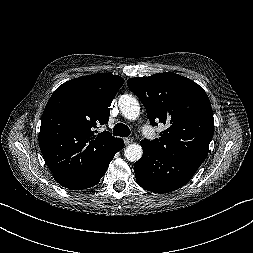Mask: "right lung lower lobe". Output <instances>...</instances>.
<instances>
[{"instance_id":"obj_1","label":"right lung lower lobe","mask_w":253,"mask_h":253,"mask_svg":"<svg viewBox=\"0 0 253 253\" xmlns=\"http://www.w3.org/2000/svg\"><path fill=\"white\" fill-rule=\"evenodd\" d=\"M123 147L124 142L120 139L111 151L101 160L79 167L73 171L53 172V177L60 185L68 189L82 190L92 187L99 183L114 155Z\"/></svg>"}]
</instances>
